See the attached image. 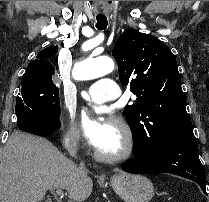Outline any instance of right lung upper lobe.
<instances>
[{"label": "right lung upper lobe", "mask_w": 209, "mask_h": 202, "mask_svg": "<svg viewBox=\"0 0 209 202\" xmlns=\"http://www.w3.org/2000/svg\"><path fill=\"white\" fill-rule=\"evenodd\" d=\"M58 51V47L51 45L48 48L43 49L37 54L36 59H34L26 69L24 76L32 74H55V68L50 62L49 58L53 57Z\"/></svg>", "instance_id": "1"}]
</instances>
